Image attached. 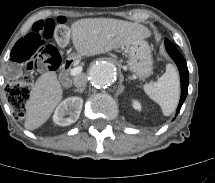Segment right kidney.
Here are the masks:
<instances>
[{"label": "right kidney", "instance_id": "right-kidney-1", "mask_svg": "<svg viewBox=\"0 0 215 183\" xmlns=\"http://www.w3.org/2000/svg\"><path fill=\"white\" fill-rule=\"evenodd\" d=\"M83 100L80 97H69L56 108L53 120L59 126H68L75 123L81 113Z\"/></svg>", "mask_w": 215, "mask_h": 183}]
</instances>
